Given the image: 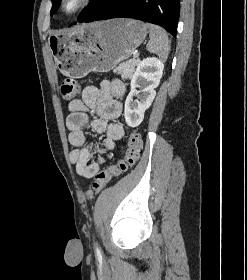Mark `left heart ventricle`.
Instances as JSON below:
<instances>
[{
    "label": "left heart ventricle",
    "instance_id": "obj_1",
    "mask_svg": "<svg viewBox=\"0 0 247 280\" xmlns=\"http://www.w3.org/2000/svg\"><path fill=\"white\" fill-rule=\"evenodd\" d=\"M75 5V3L74 2H71L70 4H69V8H72L73 6Z\"/></svg>",
    "mask_w": 247,
    "mask_h": 280
}]
</instances>
